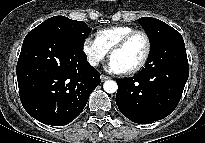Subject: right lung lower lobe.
<instances>
[{
	"label": "right lung lower lobe",
	"instance_id": "1",
	"mask_svg": "<svg viewBox=\"0 0 205 143\" xmlns=\"http://www.w3.org/2000/svg\"><path fill=\"white\" fill-rule=\"evenodd\" d=\"M16 74L24 109L52 126L73 121L101 82L83 49L45 31L26 35Z\"/></svg>",
	"mask_w": 205,
	"mask_h": 143
}]
</instances>
